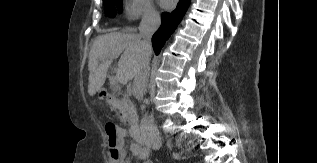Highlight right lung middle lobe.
<instances>
[{"label":"right lung middle lobe","mask_w":317,"mask_h":163,"mask_svg":"<svg viewBox=\"0 0 317 163\" xmlns=\"http://www.w3.org/2000/svg\"><path fill=\"white\" fill-rule=\"evenodd\" d=\"M105 13L109 17H114L121 12L122 0H104Z\"/></svg>","instance_id":"obj_1"}]
</instances>
